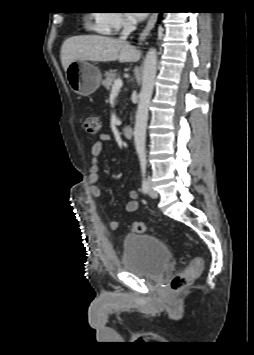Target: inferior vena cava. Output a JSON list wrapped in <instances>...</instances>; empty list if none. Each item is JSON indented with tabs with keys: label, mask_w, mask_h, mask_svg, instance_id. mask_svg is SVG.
<instances>
[{
	"label": "inferior vena cava",
	"mask_w": 254,
	"mask_h": 355,
	"mask_svg": "<svg viewBox=\"0 0 254 355\" xmlns=\"http://www.w3.org/2000/svg\"><path fill=\"white\" fill-rule=\"evenodd\" d=\"M135 28L136 27L131 20L125 19L123 22V30L121 32L120 40L126 42V39L130 35V33L135 30Z\"/></svg>",
	"instance_id": "inferior-vena-cava-1"
}]
</instances>
